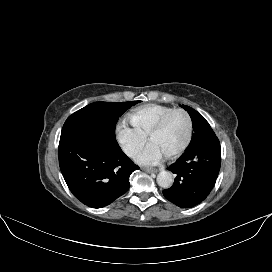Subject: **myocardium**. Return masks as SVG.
<instances>
[{
  "instance_id": "myocardium-1",
  "label": "myocardium",
  "mask_w": 272,
  "mask_h": 272,
  "mask_svg": "<svg viewBox=\"0 0 272 272\" xmlns=\"http://www.w3.org/2000/svg\"><path fill=\"white\" fill-rule=\"evenodd\" d=\"M176 113H181L186 117L187 120V125H188V129H187V135L185 138V141L183 142V144L174 152L166 155V158L168 159H175L177 157H179L189 146V144L191 143L192 140V136H193V120L191 115L189 114L188 111H186L185 109L182 108H176V109H172L171 111L165 113L164 115H162L157 122L153 125V127L150 129L149 133H148V139L150 140L151 137L159 132L164 125L166 124V122L168 121V119L176 114Z\"/></svg>"
}]
</instances>
